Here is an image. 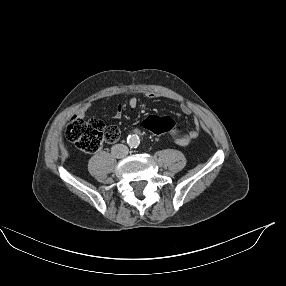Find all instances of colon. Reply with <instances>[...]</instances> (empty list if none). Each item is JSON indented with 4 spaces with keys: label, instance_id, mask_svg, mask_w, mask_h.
Instances as JSON below:
<instances>
[{
    "label": "colon",
    "instance_id": "1",
    "mask_svg": "<svg viewBox=\"0 0 286 286\" xmlns=\"http://www.w3.org/2000/svg\"><path fill=\"white\" fill-rule=\"evenodd\" d=\"M143 125L153 136H167V132L175 128L176 122L164 113L151 112L144 117ZM65 135L81 151L94 153L104 143H115L120 138V129L115 125L106 127L97 119L84 120L75 116L70 120Z\"/></svg>",
    "mask_w": 286,
    "mask_h": 286
}]
</instances>
